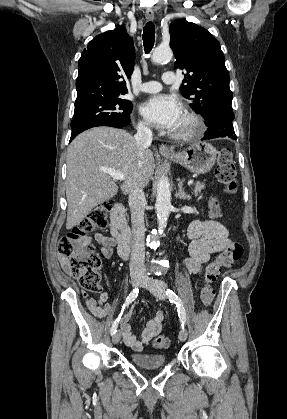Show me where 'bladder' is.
Segmentation results:
<instances>
[{
	"label": "bladder",
	"instance_id": "bladder-1",
	"mask_svg": "<svg viewBox=\"0 0 287 419\" xmlns=\"http://www.w3.org/2000/svg\"><path fill=\"white\" fill-rule=\"evenodd\" d=\"M130 361L140 368L156 369L165 364L166 358L163 355L133 353L130 355Z\"/></svg>",
	"mask_w": 287,
	"mask_h": 419
}]
</instances>
